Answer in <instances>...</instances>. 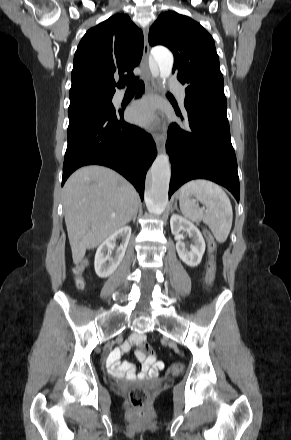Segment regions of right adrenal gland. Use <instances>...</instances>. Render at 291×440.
<instances>
[{
    "label": "right adrenal gland",
    "instance_id": "2a0ac1e0",
    "mask_svg": "<svg viewBox=\"0 0 291 440\" xmlns=\"http://www.w3.org/2000/svg\"><path fill=\"white\" fill-rule=\"evenodd\" d=\"M136 217H137V214L133 217V219H132V221H133V223H135V221H136Z\"/></svg>",
    "mask_w": 291,
    "mask_h": 440
}]
</instances>
